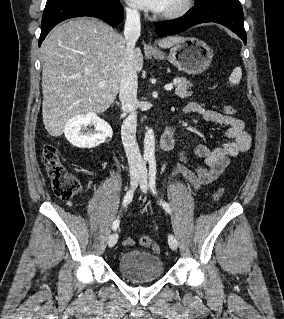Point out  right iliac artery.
<instances>
[{"label": "right iliac artery", "instance_id": "82829eb1", "mask_svg": "<svg viewBox=\"0 0 284 319\" xmlns=\"http://www.w3.org/2000/svg\"><path fill=\"white\" fill-rule=\"evenodd\" d=\"M134 189L129 190L123 199V206L126 207L133 199ZM120 220L117 218L112 225V229L116 230L119 227Z\"/></svg>", "mask_w": 284, "mask_h": 319}]
</instances>
